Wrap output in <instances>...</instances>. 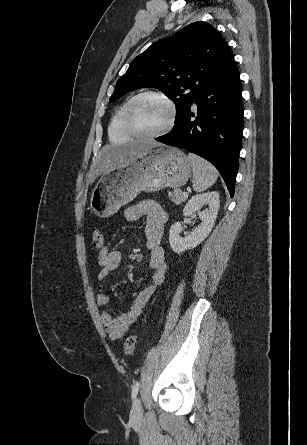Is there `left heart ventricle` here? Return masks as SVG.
Segmentation results:
<instances>
[{
	"instance_id": "left-heart-ventricle-1",
	"label": "left heart ventricle",
	"mask_w": 307,
	"mask_h": 445,
	"mask_svg": "<svg viewBox=\"0 0 307 445\" xmlns=\"http://www.w3.org/2000/svg\"><path fill=\"white\" fill-rule=\"evenodd\" d=\"M135 122L144 132H157L165 126L170 113L164 102L157 98H146L135 110Z\"/></svg>"
}]
</instances>
